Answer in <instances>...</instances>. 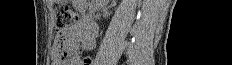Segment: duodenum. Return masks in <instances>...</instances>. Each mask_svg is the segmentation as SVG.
<instances>
[{
  "mask_svg": "<svg viewBox=\"0 0 232 65\" xmlns=\"http://www.w3.org/2000/svg\"><path fill=\"white\" fill-rule=\"evenodd\" d=\"M76 7L82 15L81 22L92 36L96 34L97 28L92 18L90 7L86 1H76Z\"/></svg>",
  "mask_w": 232,
  "mask_h": 65,
  "instance_id": "1",
  "label": "duodenum"
}]
</instances>
